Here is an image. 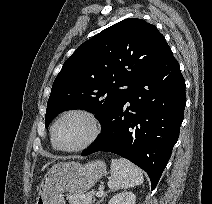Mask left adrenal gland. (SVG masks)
<instances>
[{"instance_id": "a2214340", "label": "left adrenal gland", "mask_w": 212, "mask_h": 204, "mask_svg": "<svg viewBox=\"0 0 212 204\" xmlns=\"http://www.w3.org/2000/svg\"><path fill=\"white\" fill-rule=\"evenodd\" d=\"M107 196V193H105L103 196H102V198L100 199V201H98L97 202V204H100L103 200H104V198Z\"/></svg>"}]
</instances>
